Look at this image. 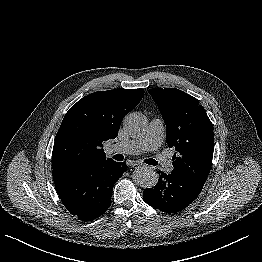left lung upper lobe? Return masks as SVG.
Segmentation results:
<instances>
[{"label":"left lung upper lobe","instance_id":"5c2ea615","mask_svg":"<svg viewBox=\"0 0 262 262\" xmlns=\"http://www.w3.org/2000/svg\"><path fill=\"white\" fill-rule=\"evenodd\" d=\"M166 124L169 147L176 150L172 172L205 183L213 158V126L205 109L191 95L176 88L149 90Z\"/></svg>","mask_w":262,"mask_h":262}]
</instances>
